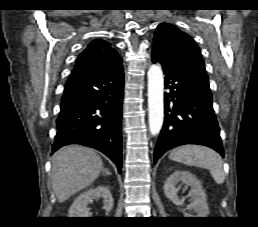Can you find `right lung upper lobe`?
I'll list each match as a JSON object with an SVG mask.
<instances>
[{
    "mask_svg": "<svg viewBox=\"0 0 258 227\" xmlns=\"http://www.w3.org/2000/svg\"><path fill=\"white\" fill-rule=\"evenodd\" d=\"M114 56H118V54L111 48L108 42L104 40H94L79 55L72 74L89 72L100 63L108 61Z\"/></svg>",
    "mask_w": 258,
    "mask_h": 227,
    "instance_id": "1",
    "label": "right lung upper lobe"
}]
</instances>
